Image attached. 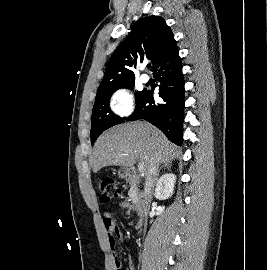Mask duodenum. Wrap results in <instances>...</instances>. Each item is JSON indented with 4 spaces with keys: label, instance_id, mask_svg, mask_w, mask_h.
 I'll use <instances>...</instances> for the list:
<instances>
[{
    "label": "duodenum",
    "instance_id": "duodenum-1",
    "mask_svg": "<svg viewBox=\"0 0 267 270\" xmlns=\"http://www.w3.org/2000/svg\"><path fill=\"white\" fill-rule=\"evenodd\" d=\"M126 176H127V178H128L131 182H133V183H135V184H139V183H140V177H139L138 173H137L134 169H128V170L126 171ZM136 209H137L139 215H140L141 217H143L144 210H145V204H144L143 200L140 199V200L136 203Z\"/></svg>",
    "mask_w": 267,
    "mask_h": 270
}]
</instances>
